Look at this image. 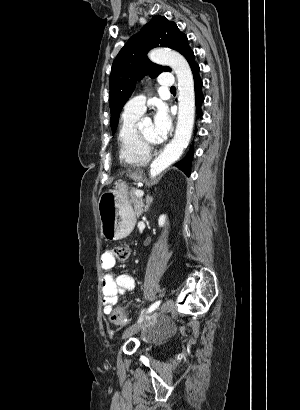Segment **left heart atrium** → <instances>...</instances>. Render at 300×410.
Returning <instances> with one entry per match:
<instances>
[{"instance_id":"1","label":"left heart atrium","mask_w":300,"mask_h":410,"mask_svg":"<svg viewBox=\"0 0 300 410\" xmlns=\"http://www.w3.org/2000/svg\"><path fill=\"white\" fill-rule=\"evenodd\" d=\"M171 130V118L165 105L158 104L153 117L154 138L157 143L163 142Z\"/></svg>"}]
</instances>
